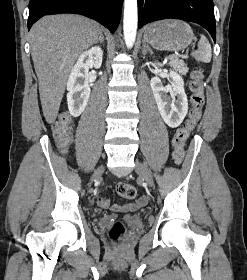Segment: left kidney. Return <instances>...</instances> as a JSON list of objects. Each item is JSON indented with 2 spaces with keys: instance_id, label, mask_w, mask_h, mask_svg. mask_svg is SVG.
I'll use <instances>...</instances> for the list:
<instances>
[{
  "instance_id": "1",
  "label": "left kidney",
  "mask_w": 247,
  "mask_h": 280,
  "mask_svg": "<svg viewBox=\"0 0 247 280\" xmlns=\"http://www.w3.org/2000/svg\"><path fill=\"white\" fill-rule=\"evenodd\" d=\"M152 66L161 67L162 64L152 63ZM169 77L171 84L166 87L157 76L151 78L150 84L162 119L169 127L176 128L183 122L188 112V100L183 78L174 71H170ZM168 92L171 93L172 100L168 97Z\"/></svg>"
}]
</instances>
